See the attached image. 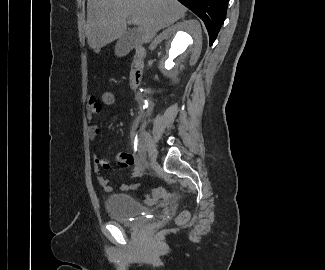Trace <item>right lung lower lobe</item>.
<instances>
[{
    "label": "right lung lower lobe",
    "instance_id": "obj_1",
    "mask_svg": "<svg viewBox=\"0 0 325 270\" xmlns=\"http://www.w3.org/2000/svg\"><path fill=\"white\" fill-rule=\"evenodd\" d=\"M200 17L209 34L210 46L225 20L229 0H178Z\"/></svg>",
    "mask_w": 325,
    "mask_h": 270
}]
</instances>
